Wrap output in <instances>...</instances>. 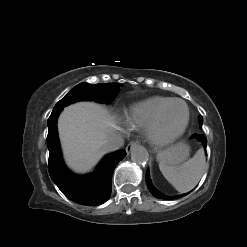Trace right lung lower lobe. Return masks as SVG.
Here are the masks:
<instances>
[{"label": "right lung lower lobe", "instance_id": "right-lung-lower-lobe-1", "mask_svg": "<svg viewBox=\"0 0 247 247\" xmlns=\"http://www.w3.org/2000/svg\"><path fill=\"white\" fill-rule=\"evenodd\" d=\"M62 109L54 108L48 119L50 177L61 192L73 202L87 206L101 205L111 195L113 171L126 155V151L121 149L108 154L91 175L77 176L71 173L63 163L57 134V117Z\"/></svg>", "mask_w": 247, "mask_h": 247}]
</instances>
